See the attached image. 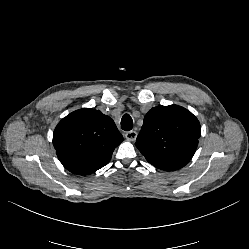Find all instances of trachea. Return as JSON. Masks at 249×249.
<instances>
[{"mask_svg": "<svg viewBox=\"0 0 249 249\" xmlns=\"http://www.w3.org/2000/svg\"><path fill=\"white\" fill-rule=\"evenodd\" d=\"M133 127V121L129 114H125L121 120V128L125 131H130Z\"/></svg>", "mask_w": 249, "mask_h": 249, "instance_id": "obj_1", "label": "trachea"}]
</instances>
